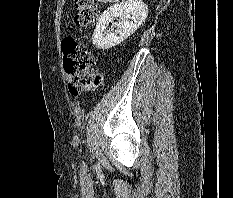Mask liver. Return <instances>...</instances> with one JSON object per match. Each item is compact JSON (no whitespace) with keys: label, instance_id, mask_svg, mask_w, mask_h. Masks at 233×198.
I'll use <instances>...</instances> for the list:
<instances>
[{"label":"liver","instance_id":"1","mask_svg":"<svg viewBox=\"0 0 233 198\" xmlns=\"http://www.w3.org/2000/svg\"><path fill=\"white\" fill-rule=\"evenodd\" d=\"M97 1L102 3H116V2H120L121 0H97Z\"/></svg>","mask_w":233,"mask_h":198}]
</instances>
